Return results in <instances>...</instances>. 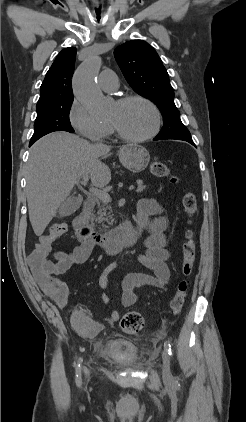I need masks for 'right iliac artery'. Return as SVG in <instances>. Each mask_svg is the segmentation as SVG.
Returning <instances> with one entry per match:
<instances>
[{"instance_id":"82829eb1","label":"right iliac artery","mask_w":246,"mask_h":422,"mask_svg":"<svg viewBox=\"0 0 246 422\" xmlns=\"http://www.w3.org/2000/svg\"><path fill=\"white\" fill-rule=\"evenodd\" d=\"M81 360H78L77 366H76V382L78 385L81 383V367H80Z\"/></svg>"}]
</instances>
